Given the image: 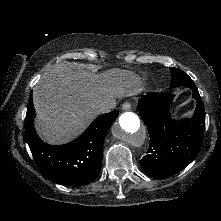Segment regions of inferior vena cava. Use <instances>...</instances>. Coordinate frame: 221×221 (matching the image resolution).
<instances>
[{
    "instance_id": "602c4592",
    "label": "inferior vena cava",
    "mask_w": 221,
    "mask_h": 221,
    "mask_svg": "<svg viewBox=\"0 0 221 221\" xmlns=\"http://www.w3.org/2000/svg\"><path fill=\"white\" fill-rule=\"evenodd\" d=\"M115 107V103L114 102H105V103H102L98 106L97 108V112L99 114H102V113H108L110 112L113 108Z\"/></svg>"
}]
</instances>
